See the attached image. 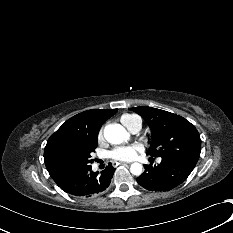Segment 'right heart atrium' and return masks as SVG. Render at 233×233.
Returning a JSON list of instances; mask_svg holds the SVG:
<instances>
[{"label": "right heart atrium", "mask_w": 233, "mask_h": 233, "mask_svg": "<svg viewBox=\"0 0 233 233\" xmlns=\"http://www.w3.org/2000/svg\"><path fill=\"white\" fill-rule=\"evenodd\" d=\"M98 139H99V141L103 140V131L102 130H100V132L98 134Z\"/></svg>", "instance_id": "right-heart-atrium-1"}]
</instances>
